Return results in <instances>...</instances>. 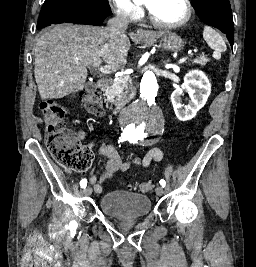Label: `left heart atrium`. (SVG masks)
<instances>
[{
    "mask_svg": "<svg viewBox=\"0 0 256 267\" xmlns=\"http://www.w3.org/2000/svg\"><path fill=\"white\" fill-rule=\"evenodd\" d=\"M146 1L149 6L154 27H161V25L156 21V15L161 10V8L167 3V0H146Z\"/></svg>",
    "mask_w": 256,
    "mask_h": 267,
    "instance_id": "1",
    "label": "left heart atrium"
}]
</instances>
